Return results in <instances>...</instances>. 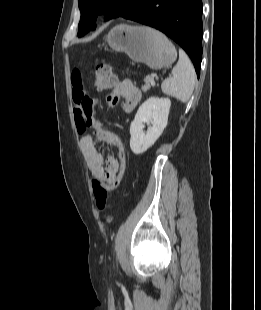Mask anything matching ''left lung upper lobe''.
Returning a JSON list of instances; mask_svg holds the SVG:
<instances>
[{"label":"left lung upper lobe","mask_w":261,"mask_h":310,"mask_svg":"<svg viewBox=\"0 0 261 310\" xmlns=\"http://www.w3.org/2000/svg\"><path fill=\"white\" fill-rule=\"evenodd\" d=\"M134 0H79L81 11L78 36L81 37L92 30L99 14L104 13L105 19L123 17L131 9Z\"/></svg>","instance_id":"obj_1"}]
</instances>
